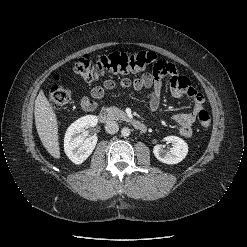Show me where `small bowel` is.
I'll return each mask as SVG.
<instances>
[{
	"instance_id": "c3829d8e",
	"label": "small bowel",
	"mask_w": 247,
	"mask_h": 247,
	"mask_svg": "<svg viewBox=\"0 0 247 247\" xmlns=\"http://www.w3.org/2000/svg\"><path fill=\"white\" fill-rule=\"evenodd\" d=\"M163 74H167L170 77V91L174 97L188 96L193 101V107L189 112H179L173 115L174 121L180 126V135L186 138L191 137L195 119L203 109L204 97L190 84L188 78L177 73L176 68L172 64H170L169 69ZM163 74L144 73L139 78L133 80L122 79L120 86L123 88H133L136 91L150 89L145 96V101L149 108L155 111L160 104L162 91L161 76ZM104 88L113 90L116 88V83L112 80H107L104 83ZM103 95L104 89L102 87H95L91 91V97H84L81 100L82 108L86 111L94 110Z\"/></svg>"
}]
</instances>
